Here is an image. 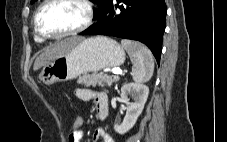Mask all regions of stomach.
Instances as JSON below:
<instances>
[{"instance_id":"stomach-1","label":"stomach","mask_w":227,"mask_h":142,"mask_svg":"<svg viewBox=\"0 0 227 142\" xmlns=\"http://www.w3.org/2000/svg\"><path fill=\"white\" fill-rule=\"evenodd\" d=\"M125 61V51L115 40L105 36L84 39L50 61L39 74L46 85L73 80L81 74L118 67Z\"/></svg>"}]
</instances>
